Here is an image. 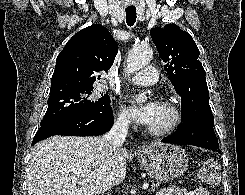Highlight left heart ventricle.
I'll return each mask as SVG.
<instances>
[{
    "label": "left heart ventricle",
    "mask_w": 245,
    "mask_h": 195,
    "mask_svg": "<svg viewBox=\"0 0 245 195\" xmlns=\"http://www.w3.org/2000/svg\"><path fill=\"white\" fill-rule=\"evenodd\" d=\"M171 118V112L163 105L158 104L156 113L151 122L147 125V127L153 129L162 128L169 123Z\"/></svg>",
    "instance_id": "left-heart-ventricle-1"
}]
</instances>
